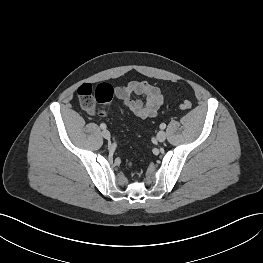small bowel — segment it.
Wrapping results in <instances>:
<instances>
[{
  "label": "small bowel",
  "instance_id": "1",
  "mask_svg": "<svg viewBox=\"0 0 263 263\" xmlns=\"http://www.w3.org/2000/svg\"><path fill=\"white\" fill-rule=\"evenodd\" d=\"M115 96L129 111L141 119L156 116L164 103L161 90L143 80H133L125 86L116 87ZM88 112L94 114V108L89 109Z\"/></svg>",
  "mask_w": 263,
  "mask_h": 263
}]
</instances>
